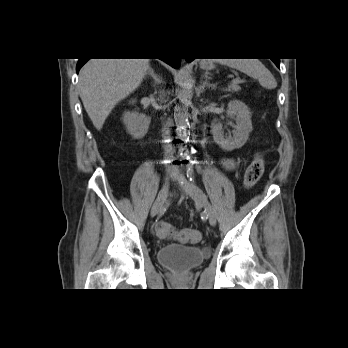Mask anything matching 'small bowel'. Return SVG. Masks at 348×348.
Here are the masks:
<instances>
[{"instance_id": "1", "label": "small bowel", "mask_w": 348, "mask_h": 348, "mask_svg": "<svg viewBox=\"0 0 348 348\" xmlns=\"http://www.w3.org/2000/svg\"><path fill=\"white\" fill-rule=\"evenodd\" d=\"M223 167L229 171H233L237 168V163L231 158H225L221 161Z\"/></svg>"}]
</instances>
